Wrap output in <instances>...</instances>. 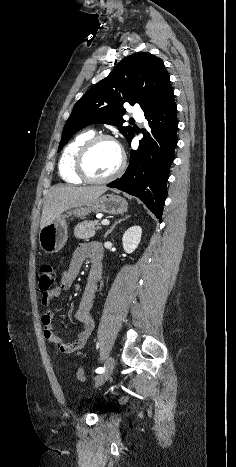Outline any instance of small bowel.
Here are the masks:
<instances>
[{"mask_svg": "<svg viewBox=\"0 0 236 467\" xmlns=\"http://www.w3.org/2000/svg\"><path fill=\"white\" fill-rule=\"evenodd\" d=\"M101 257L102 250L97 243L80 244L75 249L71 262L68 268L63 272L58 285L42 298L43 306L48 308L41 319L44 337L61 353L72 354L84 348L94 330V319L91 315V308L97 291V282L101 274ZM86 260H90V272L94 269L97 272V278L95 281H92L89 273L78 308L75 312V318L81 323L82 330L73 341L65 342L54 331L52 324L54 311L50 309V305L62 292L71 289Z\"/></svg>", "mask_w": 236, "mask_h": 467, "instance_id": "small-bowel-1", "label": "small bowel"}]
</instances>
